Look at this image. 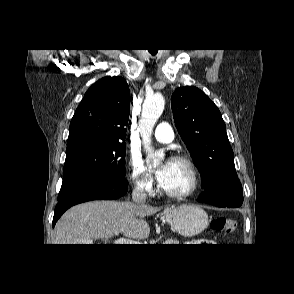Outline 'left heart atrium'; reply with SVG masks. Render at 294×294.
Wrapping results in <instances>:
<instances>
[{
	"label": "left heart atrium",
	"mask_w": 294,
	"mask_h": 294,
	"mask_svg": "<svg viewBox=\"0 0 294 294\" xmlns=\"http://www.w3.org/2000/svg\"><path fill=\"white\" fill-rule=\"evenodd\" d=\"M172 161L167 160L165 161L157 170L155 171L156 178L158 182L161 184L167 177V174L170 170Z\"/></svg>",
	"instance_id": "obj_1"
}]
</instances>
